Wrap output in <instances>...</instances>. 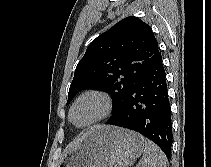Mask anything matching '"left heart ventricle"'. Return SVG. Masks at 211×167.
<instances>
[{"label": "left heart ventricle", "instance_id": "b2bd125f", "mask_svg": "<svg viewBox=\"0 0 211 167\" xmlns=\"http://www.w3.org/2000/svg\"><path fill=\"white\" fill-rule=\"evenodd\" d=\"M101 111L102 105L98 99L86 98L76 105L72 113V119L76 124L83 125L97 117Z\"/></svg>", "mask_w": 211, "mask_h": 167}]
</instances>
